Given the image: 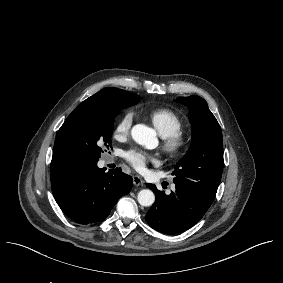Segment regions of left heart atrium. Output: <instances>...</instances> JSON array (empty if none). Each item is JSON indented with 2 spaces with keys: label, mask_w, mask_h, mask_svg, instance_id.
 I'll use <instances>...</instances> for the list:
<instances>
[{
  "label": "left heart atrium",
  "mask_w": 283,
  "mask_h": 283,
  "mask_svg": "<svg viewBox=\"0 0 283 283\" xmlns=\"http://www.w3.org/2000/svg\"><path fill=\"white\" fill-rule=\"evenodd\" d=\"M125 158L137 170H143L147 164L157 161L154 155L138 149L127 151Z\"/></svg>",
  "instance_id": "left-heart-atrium-1"
}]
</instances>
